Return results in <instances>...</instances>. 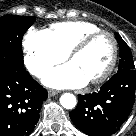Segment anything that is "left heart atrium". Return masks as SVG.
<instances>
[{"mask_svg": "<svg viewBox=\"0 0 136 136\" xmlns=\"http://www.w3.org/2000/svg\"><path fill=\"white\" fill-rule=\"evenodd\" d=\"M87 82L85 76L70 62L50 70L43 78V83L52 88H79Z\"/></svg>", "mask_w": 136, "mask_h": 136, "instance_id": "obj_1", "label": "left heart atrium"}]
</instances>
